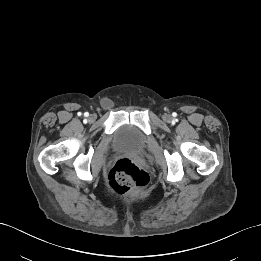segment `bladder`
Listing matches in <instances>:
<instances>
[{
    "mask_svg": "<svg viewBox=\"0 0 261 261\" xmlns=\"http://www.w3.org/2000/svg\"><path fill=\"white\" fill-rule=\"evenodd\" d=\"M112 146L120 151L140 152L146 146V137L136 126L124 124L115 130Z\"/></svg>",
    "mask_w": 261,
    "mask_h": 261,
    "instance_id": "1",
    "label": "bladder"
}]
</instances>
